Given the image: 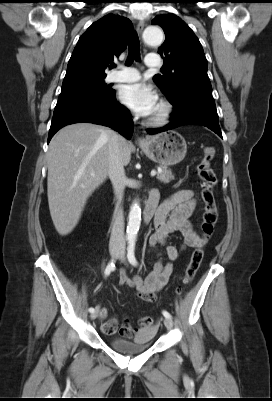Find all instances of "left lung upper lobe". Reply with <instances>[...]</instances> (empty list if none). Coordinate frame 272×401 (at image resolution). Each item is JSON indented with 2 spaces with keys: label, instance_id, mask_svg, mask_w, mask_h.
Segmentation results:
<instances>
[{
  "label": "left lung upper lobe",
  "instance_id": "5c2ea615",
  "mask_svg": "<svg viewBox=\"0 0 272 401\" xmlns=\"http://www.w3.org/2000/svg\"><path fill=\"white\" fill-rule=\"evenodd\" d=\"M152 24L161 26L166 36L158 49L164 57L163 75L153 80L167 99L172 103L188 94L212 96L208 62L192 29L174 14L156 16Z\"/></svg>",
  "mask_w": 272,
  "mask_h": 401
}]
</instances>
